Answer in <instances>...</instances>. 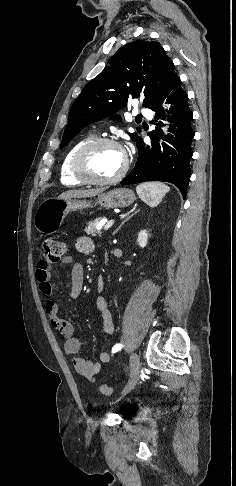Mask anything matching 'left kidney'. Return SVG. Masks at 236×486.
<instances>
[{
    "label": "left kidney",
    "instance_id": "5707ae66",
    "mask_svg": "<svg viewBox=\"0 0 236 486\" xmlns=\"http://www.w3.org/2000/svg\"><path fill=\"white\" fill-rule=\"evenodd\" d=\"M137 243L140 247H146L148 243V233L146 230H142L138 234Z\"/></svg>",
    "mask_w": 236,
    "mask_h": 486
}]
</instances>
